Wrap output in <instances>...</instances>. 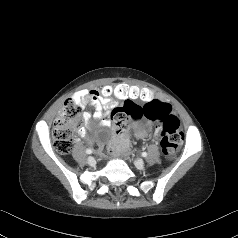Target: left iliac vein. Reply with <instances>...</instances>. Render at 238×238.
Masks as SVG:
<instances>
[{"label":"left iliac vein","instance_id":"4c4485c4","mask_svg":"<svg viewBox=\"0 0 238 238\" xmlns=\"http://www.w3.org/2000/svg\"><path fill=\"white\" fill-rule=\"evenodd\" d=\"M135 166L138 168V169H143L144 168V162L141 160V159H137L135 160Z\"/></svg>","mask_w":238,"mask_h":238}]
</instances>
